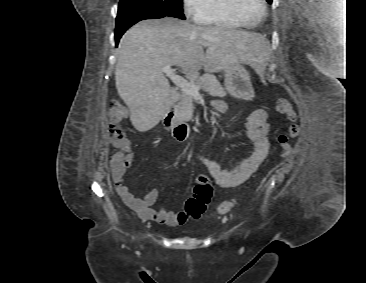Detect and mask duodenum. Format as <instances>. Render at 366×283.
I'll use <instances>...</instances> for the list:
<instances>
[{"instance_id": "410a0bca", "label": "duodenum", "mask_w": 366, "mask_h": 283, "mask_svg": "<svg viewBox=\"0 0 366 283\" xmlns=\"http://www.w3.org/2000/svg\"><path fill=\"white\" fill-rule=\"evenodd\" d=\"M164 125L171 131L173 137L179 141L186 140L191 132V128L187 122L177 118L175 108L171 104L167 107L164 114Z\"/></svg>"}]
</instances>
